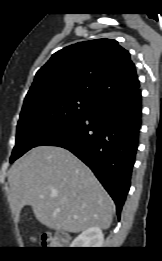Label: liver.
I'll use <instances>...</instances> for the list:
<instances>
[{"instance_id":"liver-1","label":"liver","mask_w":162,"mask_h":261,"mask_svg":"<svg viewBox=\"0 0 162 261\" xmlns=\"http://www.w3.org/2000/svg\"><path fill=\"white\" fill-rule=\"evenodd\" d=\"M8 182L17 222L21 209L30 205L41 224L57 231L106 230L111 225L112 199L91 170L64 148H33L11 167Z\"/></svg>"}]
</instances>
